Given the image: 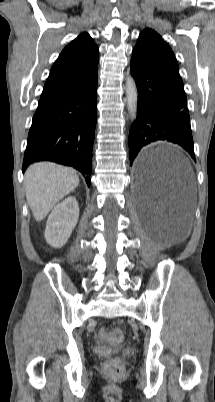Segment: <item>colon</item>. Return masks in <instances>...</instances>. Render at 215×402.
I'll return each instance as SVG.
<instances>
[{
  "instance_id": "1",
  "label": "colon",
  "mask_w": 215,
  "mask_h": 402,
  "mask_svg": "<svg viewBox=\"0 0 215 402\" xmlns=\"http://www.w3.org/2000/svg\"><path fill=\"white\" fill-rule=\"evenodd\" d=\"M100 337L112 345L119 344L123 340V332L114 328L108 331L101 330ZM123 366L121 358H112L105 363V370L109 375H118Z\"/></svg>"
}]
</instances>
